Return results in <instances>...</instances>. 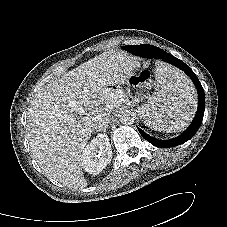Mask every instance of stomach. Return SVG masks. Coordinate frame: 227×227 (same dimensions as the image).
Listing matches in <instances>:
<instances>
[{"label": "stomach", "mask_w": 227, "mask_h": 227, "mask_svg": "<svg viewBox=\"0 0 227 227\" xmlns=\"http://www.w3.org/2000/svg\"><path fill=\"white\" fill-rule=\"evenodd\" d=\"M109 90H110L111 93H114V94H116L117 96H120V95H121V91H120V89H119L118 86H110V87H109ZM141 118H142V117H141ZM151 121H152V120H151Z\"/></svg>", "instance_id": "stomach-1"}]
</instances>
